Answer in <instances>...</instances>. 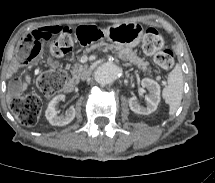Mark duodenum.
Wrapping results in <instances>:
<instances>
[{
    "label": "duodenum",
    "mask_w": 215,
    "mask_h": 183,
    "mask_svg": "<svg viewBox=\"0 0 215 183\" xmlns=\"http://www.w3.org/2000/svg\"><path fill=\"white\" fill-rule=\"evenodd\" d=\"M73 89H74V83L72 81H68L64 86V90L66 92H71Z\"/></svg>",
    "instance_id": "obj_1"
}]
</instances>
